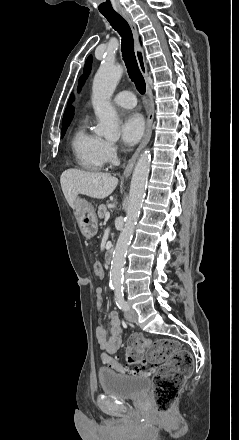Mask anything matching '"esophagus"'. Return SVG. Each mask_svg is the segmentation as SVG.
<instances>
[{
	"label": "esophagus",
	"instance_id": "obj_1",
	"mask_svg": "<svg viewBox=\"0 0 239 440\" xmlns=\"http://www.w3.org/2000/svg\"><path fill=\"white\" fill-rule=\"evenodd\" d=\"M119 13L128 22V24L132 30V33L134 36L135 56L137 58V63L139 65V69H140L141 73L143 74V76L147 77L148 76L147 66H146V62H145L144 52H143L142 47L140 46V42L138 39V32H137L136 24L128 12L119 11ZM147 94L149 95L150 98H152V92H151V89L148 85H147ZM153 119H154V109H153V105H152V108H151V110L148 114V117H147L146 131H145L144 137H143L140 145L138 146L137 150L135 151V153L132 155V157L128 161L126 168L124 170V177L125 178L129 177V175L132 173L133 167L135 165V162L137 160L139 153L147 145V143L150 140V137L152 135Z\"/></svg>",
	"mask_w": 239,
	"mask_h": 440
}]
</instances>
